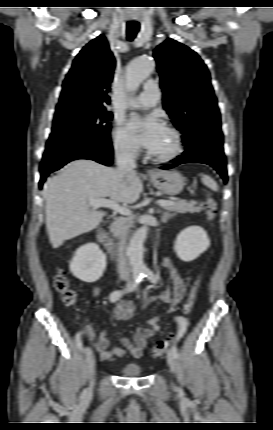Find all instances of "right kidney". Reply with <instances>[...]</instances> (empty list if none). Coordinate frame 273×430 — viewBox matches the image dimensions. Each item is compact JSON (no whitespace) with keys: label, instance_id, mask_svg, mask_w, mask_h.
Here are the masks:
<instances>
[{"label":"right kidney","instance_id":"1","mask_svg":"<svg viewBox=\"0 0 273 430\" xmlns=\"http://www.w3.org/2000/svg\"><path fill=\"white\" fill-rule=\"evenodd\" d=\"M106 268V256L96 243H88L78 248L70 262L74 277L85 283L98 281Z\"/></svg>","mask_w":273,"mask_h":430}]
</instances>
